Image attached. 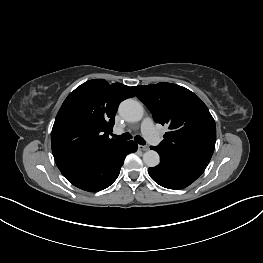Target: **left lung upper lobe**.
<instances>
[{
	"label": "left lung upper lobe",
	"mask_w": 263,
	"mask_h": 263,
	"mask_svg": "<svg viewBox=\"0 0 263 263\" xmlns=\"http://www.w3.org/2000/svg\"><path fill=\"white\" fill-rule=\"evenodd\" d=\"M132 89L155 122L169 126L155 148L178 160L207 167L215 148L216 125L201 99L184 87L166 82Z\"/></svg>",
	"instance_id": "obj_1"
}]
</instances>
